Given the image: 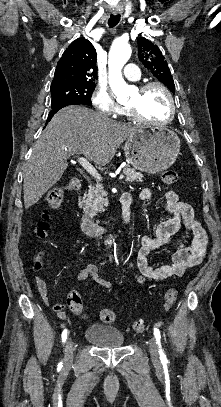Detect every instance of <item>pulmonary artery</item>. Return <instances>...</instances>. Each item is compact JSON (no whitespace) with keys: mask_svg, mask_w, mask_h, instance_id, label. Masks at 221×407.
<instances>
[{"mask_svg":"<svg viewBox=\"0 0 221 407\" xmlns=\"http://www.w3.org/2000/svg\"><path fill=\"white\" fill-rule=\"evenodd\" d=\"M124 75L134 81H138L140 79V72L135 64H127L124 69Z\"/></svg>","mask_w":221,"mask_h":407,"instance_id":"pulmonary-artery-1","label":"pulmonary artery"}]
</instances>
